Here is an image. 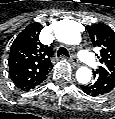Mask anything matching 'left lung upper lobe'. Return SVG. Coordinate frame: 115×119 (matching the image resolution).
Wrapping results in <instances>:
<instances>
[{"label":"left lung upper lobe","instance_id":"5c2ea615","mask_svg":"<svg viewBox=\"0 0 115 119\" xmlns=\"http://www.w3.org/2000/svg\"><path fill=\"white\" fill-rule=\"evenodd\" d=\"M93 45L100 49L101 66L96 73L115 81V32L106 24L87 26Z\"/></svg>","mask_w":115,"mask_h":119}]
</instances>
